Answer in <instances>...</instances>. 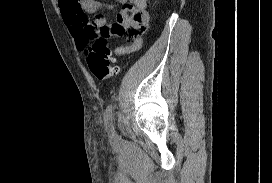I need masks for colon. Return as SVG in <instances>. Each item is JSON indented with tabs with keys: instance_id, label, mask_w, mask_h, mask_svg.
<instances>
[{
	"instance_id": "1",
	"label": "colon",
	"mask_w": 272,
	"mask_h": 183,
	"mask_svg": "<svg viewBox=\"0 0 272 183\" xmlns=\"http://www.w3.org/2000/svg\"><path fill=\"white\" fill-rule=\"evenodd\" d=\"M111 25H117L112 23ZM111 31H125V30H111ZM103 34H101L102 36ZM106 35V34H105ZM108 36L103 39L102 37L97 38L92 45L86 49L85 57L88 67L91 73L98 80H109L113 79L119 71L116 64V60L112 55L109 48Z\"/></svg>"
}]
</instances>
